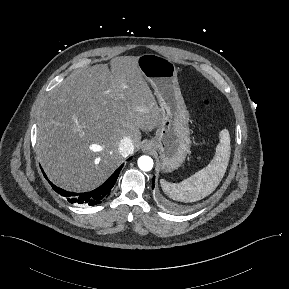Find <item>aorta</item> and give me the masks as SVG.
Wrapping results in <instances>:
<instances>
[{
  "label": "aorta",
  "instance_id": "obj_1",
  "mask_svg": "<svg viewBox=\"0 0 289 289\" xmlns=\"http://www.w3.org/2000/svg\"><path fill=\"white\" fill-rule=\"evenodd\" d=\"M138 167L142 171H150L153 168V160L149 156H141L138 159Z\"/></svg>",
  "mask_w": 289,
  "mask_h": 289
}]
</instances>
